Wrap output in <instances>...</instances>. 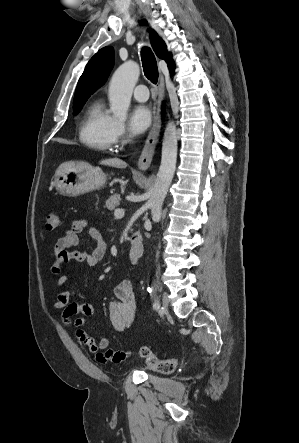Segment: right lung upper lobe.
I'll return each mask as SVG.
<instances>
[{
  "mask_svg": "<svg viewBox=\"0 0 299 443\" xmlns=\"http://www.w3.org/2000/svg\"><path fill=\"white\" fill-rule=\"evenodd\" d=\"M151 45L159 58L165 59L168 63L171 74L174 71L173 60L167 53V47L164 41L154 30L150 31ZM114 64V49L111 46L100 49L88 62L81 75L76 91L73 105L85 103L87 99L107 80Z\"/></svg>",
  "mask_w": 299,
  "mask_h": 443,
  "instance_id": "right-lung-upper-lobe-1",
  "label": "right lung upper lobe"
}]
</instances>
